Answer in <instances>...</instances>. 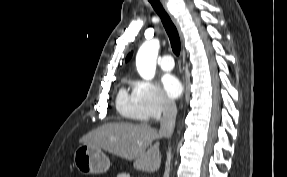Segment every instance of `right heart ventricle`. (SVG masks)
Masks as SVG:
<instances>
[{
	"label": "right heart ventricle",
	"instance_id": "right-heart-ventricle-1",
	"mask_svg": "<svg viewBox=\"0 0 287 177\" xmlns=\"http://www.w3.org/2000/svg\"><path fill=\"white\" fill-rule=\"evenodd\" d=\"M116 108L123 117L133 120L139 119L137 115V102L133 90L130 94L126 88L120 89L116 99Z\"/></svg>",
	"mask_w": 287,
	"mask_h": 177
}]
</instances>
